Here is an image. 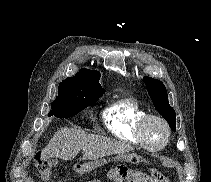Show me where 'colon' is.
<instances>
[{
	"label": "colon",
	"mask_w": 211,
	"mask_h": 182,
	"mask_svg": "<svg viewBox=\"0 0 211 182\" xmlns=\"http://www.w3.org/2000/svg\"><path fill=\"white\" fill-rule=\"evenodd\" d=\"M37 168L41 178L45 182L52 179L53 173L51 162L47 158V151L41 149L36 154ZM112 178L122 182H170L166 176L159 171L153 170L150 175H145L142 172L127 167H116ZM74 172L78 175L85 173L83 165L77 164L74 166ZM88 182H101L99 179L89 180Z\"/></svg>",
	"instance_id": "5ec220e1"
}]
</instances>
